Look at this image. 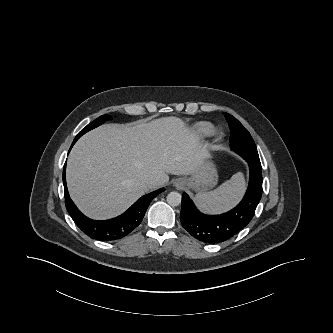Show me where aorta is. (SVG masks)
<instances>
[{"mask_svg": "<svg viewBox=\"0 0 333 333\" xmlns=\"http://www.w3.org/2000/svg\"><path fill=\"white\" fill-rule=\"evenodd\" d=\"M181 200H182V196L178 192L173 191V192H170L167 195V202L171 206H178V205H180Z\"/></svg>", "mask_w": 333, "mask_h": 333, "instance_id": "obj_1", "label": "aorta"}]
</instances>
